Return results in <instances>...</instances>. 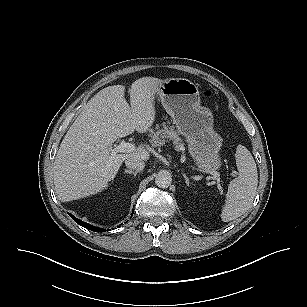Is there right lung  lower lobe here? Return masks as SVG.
Instances as JSON below:
<instances>
[{
  "label": "right lung lower lobe",
  "instance_id": "obj_1",
  "mask_svg": "<svg viewBox=\"0 0 307 307\" xmlns=\"http://www.w3.org/2000/svg\"><path fill=\"white\" fill-rule=\"evenodd\" d=\"M69 216L79 225L83 226L84 228L88 229V230H91V231H95V232H105L106 230L104 229H101V228H98V227H95L93 225H90L86 222H83L79 219H77L75 216H73L72 214L68 213ZM108 231V230H107Z\"/></svg>",
  "mask_w": 307,
  "mask_h": 307
}]
</instances>
